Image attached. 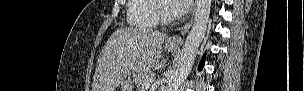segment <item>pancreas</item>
<instances>
[{
    "label": "pancreas",
    "instance_id": "cf45deb5",
    "mask_svg": "<svg viewBox=\"0 0 304 91\" xmlns=\"http://www.w3.org/2000/svg\"><path fill=\"white\" fill-rule=\"evenodd\" d=\"M154 76V72L151 71L141 72L134 78V82L139 90H144L145 84H150Z\"/></svg>",
    "mask_w": 304,
    "mask_h": 91
}]
</instances>
